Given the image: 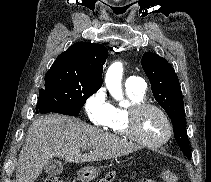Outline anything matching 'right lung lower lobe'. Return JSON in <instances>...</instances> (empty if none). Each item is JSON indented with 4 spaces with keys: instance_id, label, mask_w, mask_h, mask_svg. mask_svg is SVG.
<instances>
[{
    "instance_id": "98d812e1",
    "label": "right lung lower lobe",
    "mask_w": 211,
    "mask_h": 182,
    "mask_svg": "<svg viewBox=\"0 0 211 182\" xmlns=\"http://www.w3.org/2000/svg\"><path fill=\"white\" fill-rule=\"evenodd\" d=\"M36 113H49V112H56V113H61L64 115H71L68 112H66L63 108H61L59 105L56 104L51 99H46V100H39L38 104L36 106ZM74 116V115H72Z\"/></svg>"
}]
</instances>
